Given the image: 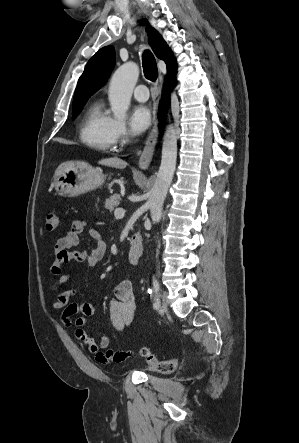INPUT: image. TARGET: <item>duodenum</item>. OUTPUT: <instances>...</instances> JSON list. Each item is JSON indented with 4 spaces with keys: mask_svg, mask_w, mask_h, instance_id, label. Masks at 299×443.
<instances>
[{
    "mask_svg": "<svg viewBox=\"0 0 299 443\" xmlns=\"http://www.w3.org/2000/svg\"><path fill=\"white\" fill-rule=\"evenodd\" d=\"M143 244L142 237L140 234L135 233L132 235L130 239V249H129V260L135 264L139 260L142 255Z\"/></svg>",
    "mask_w": 299,
    "mask_h": 443,
    "instance_id": "1",
    "label": "duodenum"
}]
</instances>
